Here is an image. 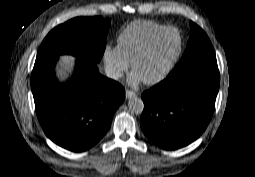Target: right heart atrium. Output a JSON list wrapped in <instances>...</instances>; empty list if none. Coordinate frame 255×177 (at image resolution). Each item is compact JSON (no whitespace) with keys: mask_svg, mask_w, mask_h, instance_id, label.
I'll use <instances>...</instances> for the list:
<instances>
[{"mask_svg":"<svg viewBox=\"0 0 255 177\" xmlns=\"http://www.w3.org/2000/svg\"><path fill=\"white\" fill-rule=\"evenodd\" d=\"M103 61L109 76L115 80L120 79L130 68L119 45L107 44L103 51Z\"/></svg>","mask_w":255,"mask_h":177,"instance_id":"obj_1","label":"right heart atrium"}]
</instances>
